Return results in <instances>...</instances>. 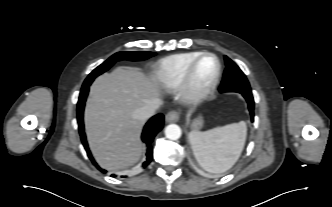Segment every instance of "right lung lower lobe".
Returning <instances> with one entry per match:
<instances>
[{
    "label": "right lung lower lobe",
    "mask_w": 332,
    "mask_h": 207,
    "mask_svg": "<svg viewBox=\"0 0 332 207\" xmlns=\"http://www.w3.org/2000/svg\"><path fill=\"white\" fill-rule=\"evenodd\" d=\"M89 86H82V90L79 96L78 104H77V121L79 133L81 136V141L84 145V148L87 152L88 157L92 161V163L103 173H106V170L101 169L98 164L95 162L94 158L91 155V152L88 148V144L86 141V136L84 132V124H83V111L85 106V101L88 95ZM164 116L163 114H157L153 116L145 125L143 133H142V141L147 146L146 160L143 162L142 167L145 168L152 161V142L155 135L163 128ZM111 176H115L112 174ZM126 177V176H122Z\"/></svg>",
    "instance_id": "1"
}]
</instances>
